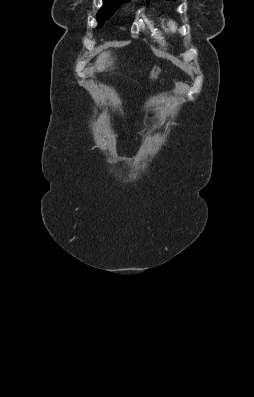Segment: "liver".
I'll list each match as a JSON object with an SVG mask.
<instances>
[{
    "mask_svg": "<svg viewBox=\"0 0 254 397\" xmlns=\"http://www.w3.org/2000/svg\"><path fill=\"white\" fill-rule=\"evenodd\" d=\"M96 62L98 71H104L111 67L113 60L110 58V51L101 53Z\"/></svg>",
    "mask_w": 254,
    "mask_h": 397,
    "instance_id": "1",
    "label": "liver"
}]
</instances>
